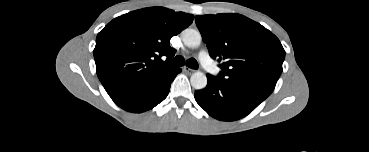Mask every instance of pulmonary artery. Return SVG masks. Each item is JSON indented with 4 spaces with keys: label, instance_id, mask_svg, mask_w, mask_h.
I'll list each match as a JSON object with an SVG mask.
<instances>
[{
    "label": "pulmonary artery",
    "instance_id": "e3ab8cb5",
    "mask_svg": "<svg viewBox=\"0 0 369 152\" xmlns=\"http://www.w3.org/2000/svg\"><path fill=\"white\" fill-rule=\"evenodd\" d=\"M199 59L201 61V64L203 67L212 74H215L217 72V67L215 63L211 60L210 56L206 51H201L199 53Z\"/></svg>",
    "mask_w": 369,
    "mask_h": 152
}]
</instances>
